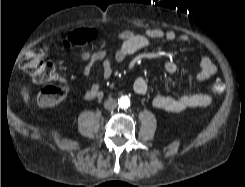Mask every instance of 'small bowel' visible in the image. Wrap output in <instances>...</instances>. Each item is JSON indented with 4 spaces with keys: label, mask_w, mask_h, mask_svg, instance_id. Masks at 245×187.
Segmentation results:
<instances>
[{
    "label": "small bowel",
    "mask_w": 245,
    "mask_h": 187,
    "mask_svg": "<svg viewBox=\"0 0 245 187\" xmlns=\"http://www.w3.org/2000/svg\"><path fill=\"white\" fill-rule=\"evenodd\" d=\"M88 42L96 41L99 37L97 30H85ZM116 37L122 42L116 50L113 57L107 55L105 49H99L94 52H82L81 59L85 62V67L80 75V79H85L91 72L93 66L101 62L103 75L109 79L113 72L114 64L121 63L131 55L145 49L154 40H164L168 43H188L189 37L185 34H177L172 30H163L160 28H150L144 33H136L125 30L116 34ZM164 70L169 74L177 72V65L172 61L164 64ZM216 66L209 56H203L200 60V71L194 76V82H201L216 73ZM133 89L139 95H145L148 91V84L144 78L138 77L133 82ZM101 93L99 83L92 84L84 93V100L97 98ZM211 103V98L205 93L187 92L181 95H156L152 99V105L159 110L167 112H181L189 108L204 107Z\"/></svg>",
    "instance_id": "c3829d8e"
}]
</instances>
